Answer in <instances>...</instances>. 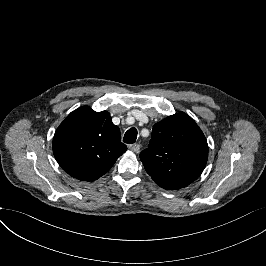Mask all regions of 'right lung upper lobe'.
<instances>
[{
  "label": "right lung upper lobe",
  "instance_id": "cb5924a9",
  "mask_svg": "<svg viewBox=\"0 0 266 266\" xmlns=\"http://www.w3.org/2000/svg\"><path fill=\"white\" fill-rule=\"evenodd\" d=\"M120 129L107 111L95 112L83 106L70 113L57 128L53 153L59 165L72 177L94 181L126 152Z\"/></svg>",
  "mask_w": 266,
  "mask_h": 266
}]
</instances>
